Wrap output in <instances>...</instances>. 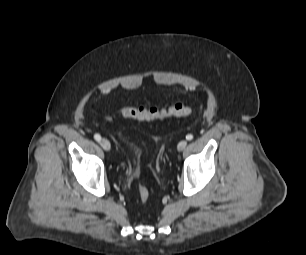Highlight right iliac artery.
Wrapping results in <instances>:
<instances>
[{"instance_id": "obj_1", "label": "right iliac artery", "mask_w": 306, "mask_h": 255, "mask_svg": "<svg viewBox=\"0 0 306 255\" xmlns=\"http://www.w3.org/2000/svg\"><path fill=\"white\" fill-rule=\"evenodd\" d=\"M94 139L99 142L101 140V136L99 134H95Z\"/></svg>"}]
</instances>
